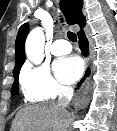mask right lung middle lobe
<instances>
[{
	"instance_id": "dd1d6c3e",
	"label": "right lung middle lobe",
	"mask_w": 117,
	"mask_h": 131,
	"mask_svg": "<svg viewBox=\"0 0 117 131\" xmlns=\"http://www.w3.org/2000/svg\"><path fill=\"white\" fill-rule=\"evenodd\" d=\"M18 76L19 75L14 76V83L12 85V96L18 94Z\"/></svg>"
}]
</instances>
